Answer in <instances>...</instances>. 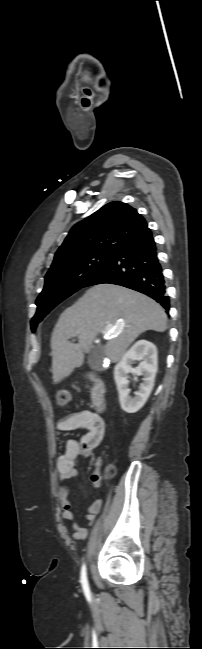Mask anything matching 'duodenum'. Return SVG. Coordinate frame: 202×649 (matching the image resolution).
Instances as JSON below:
<instances>
[{
  "label": "duodenum",
  "mask_w": 202,
  "mask_h": 649,
  "mask_svg": "<svg viewBox=\"0 0 202 649\" xmlns=\"http://www.w3.org/2000/svg\"><path fill=\"white\" fill-rule=\"evenodd\" d=\"M93 387L91 389V400L98 412L106 407V386L102 379L92 376Z\"/></svg>",
  "instance_id": "obj_1"
}]
</instances>
